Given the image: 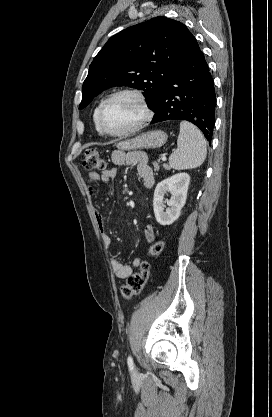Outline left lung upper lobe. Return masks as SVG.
I'll use <instances>...</instances> for the list:
<instances>
[{"label": "left lung upper lobe", "instance_id": "obj_1", "mask_svg": "<svg viewBox=\"0 0 272 417\" xmlns=\"http://www.w3.org/2000/svg\"><path fill=\"white\" fill-rule=\"evenodd\" d=\"M181 22L156 17L112 36L93 59L79 109L102 90L129 85L145 91L150 109L177 68L199 50Z\"/></svg>", "mask_w": 272, "mask_h": 417}]
</instances>
